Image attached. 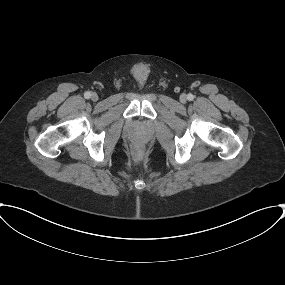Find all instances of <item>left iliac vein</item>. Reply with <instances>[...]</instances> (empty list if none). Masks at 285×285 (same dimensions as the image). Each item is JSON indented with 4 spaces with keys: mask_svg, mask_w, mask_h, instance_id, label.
<instances>
[{
    "mask_svg": "<svg viewBox=\"0 0 285 285\" xmlns=\"http://www.w3.org/2000/svg\"><path fill=\"white\" fill-rule=\"evenodd\" d=\"M186 100H187V96H186L185 94H182V95L180 96V101H181L182 103H185Z\"/></svg>",
    "mask_w": 285,
    "mask_h": 285,
    "instance_id": "4c4485c4",
    "label": "left iliac vein"
}]
</instances>
